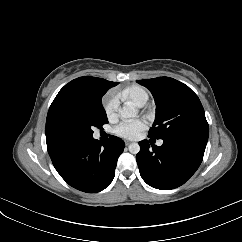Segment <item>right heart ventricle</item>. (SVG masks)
I'll return each mask as SVG.
<instances>
[{"mask_svg":"<svg viewBox=\"0 0 242 242\" xmlns=\"http://www.w3.org/2000/svg\"><path fill=\"white\" fill-rule=\"evenodd\" d=\"M121 98L129 100L137 106H143L149 98L148 92L141 86L133 85L120 93Z\"/></svg>","mask_w":242,"mask_h":242,"instance_id":"e07e8e85","label":"right heart ventricle"}]
</instances>
